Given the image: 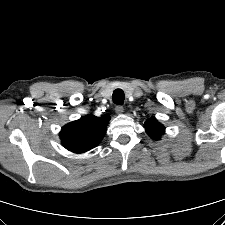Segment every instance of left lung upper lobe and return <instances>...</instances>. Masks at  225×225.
I'll list each match as a JSON object with an SVG mask.
<instances>
[{"mask_svg": "<svg viewBox=\"0 0 225 225\" xmlns=\"http://www.w3.org/2000/svg\"><path fill=\"white\" fill-rule=\"evenodd\" d=\"M145 129L153 139H158L165 130V128L158 123L155 118H151L146 121Z\"/></svg>", "mask_w": 225, "mask_h": 225, "instance_id": "5c2ea615", "label": "left lung upper lobe"}]
</instances>
